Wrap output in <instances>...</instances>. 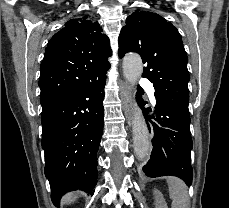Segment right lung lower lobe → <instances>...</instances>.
<instances>
[{"instance_id":"right-lung-lower-lobe-1","label":"right lung lower lobe","mask_w":229,"mask_h":208,"mask_svg":"<svg viewBox=\"0 0 229 208\" xmlns=\"http://www.w3.org/2000/svg\"><path fill=\"white\" fill-rule=\"evenodd\" d=\"M106 74L42 110V148L51 199L58 206L70 190L93 194L103 131Z\"/></svg>"}]
</instances>
